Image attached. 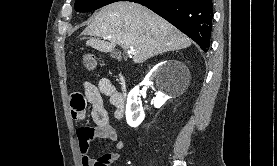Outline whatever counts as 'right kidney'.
I'll return each instance as SVG.
<instances>
[{
  "mask_svg": "<svg viewBox=\"0 0 277 166\" xmlns=\"http://www.w3.org/2000/svg\"><path fill=\"white\" fill-rule=\"evenodd\" d=\"M168 64H173L175 68L180 69L183 68V64L180 62H168ZM166 64H158L156 65L144 78L142 81V85H152V81L156 79V83L159 84L160 79L162 78L161 74L163 73L164 66ZM171 82L168 81L165 83L163 87H161V91L156 93V97L154 98V106L156 108H160L170 97L165 94L162 90L163 88L170 87ZM139 95V87L136 86L133 88L128 94L127 104H126V121L129 126L137 127L143 121L145 114L142 108L141 101L138 99Z\"/></svg>",
  "mask_w": 277,
  "mask_h": 166,
  "instance_id": "right-kidney-1",
  "label": "right kidney"
}]
</instances>
